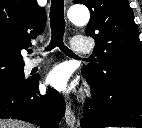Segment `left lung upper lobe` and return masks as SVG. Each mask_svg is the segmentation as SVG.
<instances>
[{
	"label": "left lung upper lobe",
	"instance_id": "1",
	"mask_svg": "<svg viewBox=\"0 0 142 128\" xmlns=\"http://www.w3.org/2000/svg\"><path fill=\"white\" fill-rule=\"evenodd\" d=\"M91 18L85 33L95 39L97 63L82 71L98 87L111 84L142 87V42L128 0H74Z\"/></svg>",
	"mask_w": 142,
	"mask_h": 128
}]
</instances>
